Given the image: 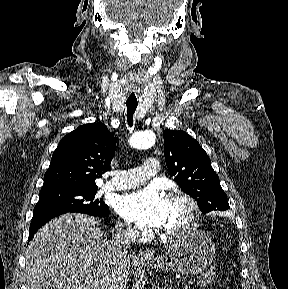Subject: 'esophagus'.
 <instances>
[{
	"label": "esophagus",
	"instance_id": "obj_1",
	"mask_svg": "<svg viewBox=\"0 0 288 289\" xmlns=\"http://www.w3.org/2000/svg\"><path fill=\"white\" fill-rule=\"evenodd\" d=\"M138 258L140 261H148L151 260L152 255L149 252L142 250L138 253Z\"/></svg>",
	"mask_w": 288,
	"mask_h": 289
}]
</instances>
